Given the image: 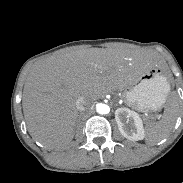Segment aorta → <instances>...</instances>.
I'll return each instance as SVG.
<instances>
[{"instance_id":"obj_1","label":"aorta","mask_w":183,"mask_h":183,"mask_svg":"<svg viewBox=\"0 0 183 183\" xmlns=\"http://www.w3.org/2000/svg\"><path fill=\"white\" fill-rule=\"evenodd\" d=\"M96 110L99 114L105 115L110 112V107L107 104L100 103L97 105Z\"/></svg>"}]
</instances>
